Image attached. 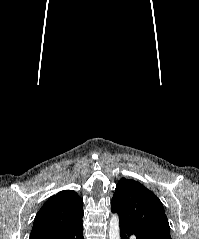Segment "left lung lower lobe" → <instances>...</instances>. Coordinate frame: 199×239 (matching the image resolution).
Here are the masks:
<instances>
[{
    "instance_id": "obj_1",
    "label": "left lung lower lobe",
    "mask_w": 199,
    "mask_h": 239,
    "mask_svg": "<svg viewBox=\"0 0 199 239\" xmlns=\"http://www.w3.org/2000/svg\"><path fill=\"white\" fill-rule=\"evenodd\" d=\"M120 236L121 239H129L130 235H135L136 239H144L140 237L132 228L123 222H119Z\"/></svg>"
}]
</instances>
